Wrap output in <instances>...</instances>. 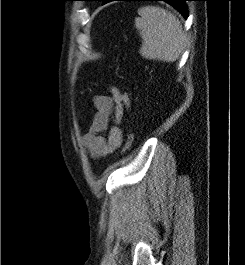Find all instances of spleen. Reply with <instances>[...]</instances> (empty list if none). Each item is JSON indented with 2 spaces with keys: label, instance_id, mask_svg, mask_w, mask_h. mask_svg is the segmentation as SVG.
Listing matches in <instances>:
<instances>
[{
  "label": "spleen",
  "instance_id": "obj_1",
  "mask_svg": "<svg viewBox=\"0 0 245 265\" xmlns=\"http://www.w3.org/2000/svg\"><path fill=\"white\" fill-rule=\"evenodd\" d=\"M135 27L142 38L140 54L146 59L176 61L185 46L186 35L177 17L158 6L138 10Z\"/></svg>",
  "mask_w": 245,
  "mask_h": 265
}]
</instances>
